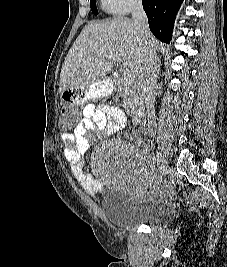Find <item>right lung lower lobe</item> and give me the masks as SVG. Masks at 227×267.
Returning a JSON list of instances; mask_svg holds the SVG:
<instances>
[{
    "instance_id": "98d812e1",
    "label": "right lung lower lobe",
    "mask_w": 227,
    "mask_h": 267,
    "mask_svg": "<svg viewBox=\"0 0 227 267\" xmlns=\"http://www.w3.org/2000/svg\"><path fill=\"white\" fill-rule=\"evenodd\" d=\"M151 32L160 41L170 43L177 11L182 0H143Z\"/></svg>"
}]
</instances>
